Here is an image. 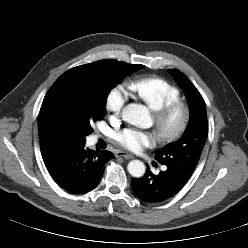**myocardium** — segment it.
<instances>
[{
    "label": "myocardium",
    "instance_id": "myocardium-1",
    "mask_svg": "<svg viewBox=\"0 0 248 248\" xmlns=\"http://www.w3.org/2000/svg\"><path fill=\"white\" fill-rule=\"evenodd\" d=\"M177 113H180L178 124L174 128L168 129V122ZM190 118L191 111L189 105L180 99L167 103L154 111V125L160 141L172 143L178 140L187 130Z\"/></svg>",
    "mask_w": 248,
    "mask_h": 248
}]
</instances>
